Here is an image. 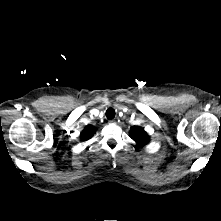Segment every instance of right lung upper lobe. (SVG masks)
Here are the masks:
<instances>
[{
	"mask_svg": "<svg viewBox=\"0 0 221 221\" xmlns=\"http://www.w3.org/2000/svg\"><path fill=\"white\" fill-rule=\"evenodd\" d=\"M95 130H96L95 127H91V126L86 127L83 130V132H81V135H80L82 141L90 139L95 133Z\"/></svg>",
	"mask_w": 221,
	"mask_h": 221,
	"instance_id": "cb5924a9",
	"label": "right lung upper lobe"
}]
</instances>
